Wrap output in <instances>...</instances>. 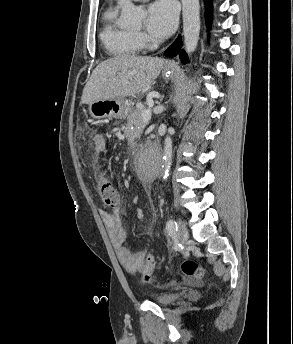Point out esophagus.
I'll return each mask as SVG.
<instances>
[{"label":"esophagus","mask_w":293,"mask_h":344,"mask_svg":"<svg viewBox=\"0 0 293 344\" xmlns=\"http://www.w3.org/2000/svg\"><path fill=\"white\" fill-rule=\"evenodd\" d=\"M168 66L170 67V66H172V64L170 63V64H168Z\"/></svg>","instance_id":"obj_1"}]
</instances>
